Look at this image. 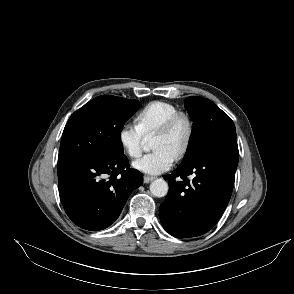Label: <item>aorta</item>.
<instances>
[{"label": "aorta", "mask_w": 294, "mask_h": 294, "mask_svg": "<svg viewBox=\"0 0 294 294\" xmlns=\"http://www.w3.org/2000/svg\"><path fill=\"white\" fill-rule=\"evenodd\" d=\"M151 147V141H147L143 146L145 151H149ZM168 189L169 187L167 182L162 178L156 179L150 184V191L156 197L166 196L168 193Z\"/></svg>", "instance_id": "obj_1"}]
</instances>
